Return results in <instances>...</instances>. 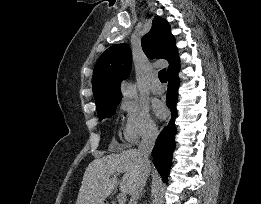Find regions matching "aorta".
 <instances>
[{
	"label": "aorta",
	"instance_id": "obj_1",
	"mask_svg": "<svg viewBox=\"0 0 261 204\" xmlns=\"http://www.w3.org/2000/svg\"><path fill=\"white\" fill-rule=\"evenodd\" d=\"M123 93L127 97H133L136 94V91H135V88L132 85L126 84L123 87Z\"/></svg>",
	"mask_w": 261,
	"mask_h": 204
}]
</instances>
